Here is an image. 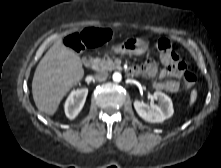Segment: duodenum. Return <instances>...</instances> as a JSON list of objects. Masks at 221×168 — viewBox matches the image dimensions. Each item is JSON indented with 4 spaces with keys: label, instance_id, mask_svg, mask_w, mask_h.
Here are the masks:
<instances>
[{
    "label": "duodenum",
    "instance_id": "1",
    "mask_svg": "<svg viewBox=\"0 0 221 168\" xmlns=\"http://www.w3.org/2000/svg\"><path fill=\"white\" fill-rule=\"evenodd\" d=\"M83 64L86 68L92 69L96 66V61L92 56H85L83 58ZM127 74L129 76L137 75V72L135 69L131 68L127 71Z\"/></svg>",
    "mask_w": 221,
    "mask_h": 168
}]
</instances>
